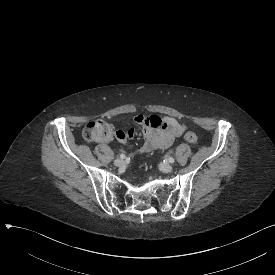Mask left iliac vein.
Instances as JSON below:
<instances>
[{
    "label": "left iliac vein",
    "instance_id": "4c4485c4",
    "mask_svg": "<svg viewBox=\"0 0 275 275\" xmlns=\"http://www.w3.org/2000/svg\"><path fill=\"white\" fill-rule=\"evenodd\" d=\"M172 169H173L172 165L168 163L161 164L160 166V170L164 173H169L172 171Z\"/></svg>",
    "mask_w": 275,
    "mask_h": 275
}]
</instances>
